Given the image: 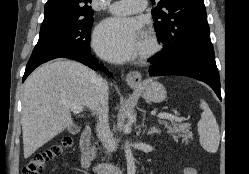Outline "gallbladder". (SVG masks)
<instances>
[{
	"mask_svg": "<svg viewBox=\"0 0 249 174\" xmlns=\"http://www.w3.org/2000/svg\"><path fill=\"white\" fill-rule=\"evenodd\" d=\"M76 130H77V126H75V125L69 127L70 132L76 131Z\"/></svg>",
	"mask_w": 249,
	"mask_h": 174,
	"instance_id": "gallbladder-1",
	"label": "gallbladder"
}]
</instances>
